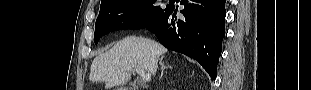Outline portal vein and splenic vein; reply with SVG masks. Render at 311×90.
Listing matches in <instances>:
<instances>
[{
    "label": "portal vein and splenic vein",
    "mask_w": 311,
    "mask_h": 90,
    "mask_svg": "<svg viewBox=\"0 0 311 90\" xmlns=\"http://www.w3.org/2000/svg\"><path fill=\"white\" fill-rule=\"evenodd\" d=\"M136 73L142 77V80L144 82H148L151 80V75L149 73H146L144 70L141 69H135Z\"/></svg>",
    "instance_id": "1"
}]
</instances>
